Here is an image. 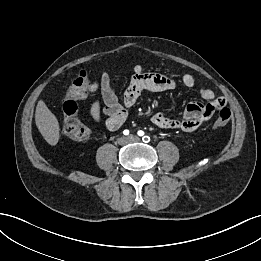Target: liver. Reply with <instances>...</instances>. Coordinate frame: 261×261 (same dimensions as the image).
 I'll use <instances>...</instances> for the list:
<instances>
[{"label": "liver", "mask_w": 261, "mask_h": 261, "mask_svg": "<svg viewBox=\"0 0 261 261\" xmlns=\"http://www.w3.org/2000/svg\"><path fill=\"white\" fill-rule=\"evenodd\" d=\"M35 122L46 142L52 146L56 145L60 137L59 122L43 100H39L37 103Z\"/></svg>", "instance_id": "1"}]
</instances>
